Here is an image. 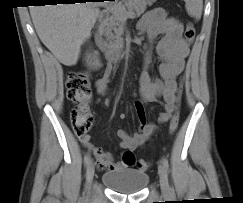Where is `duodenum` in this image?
Here are the masks:
<instances>
[{
	"label": "duodenum",
	"mask_w": 243,
	"mask_h": 203,
	"mask_svg": "<svg viewBox=\"0 0 243 203\" xmlns=\"http://www.w3.org/2000/svg\"><path fill=\"white\" fill-rule=\"evenodd\" d=\"M106 11L101 12L95 29V41L97 46L104 52L107 61L117 62L130 56L129 52L122 47L108 46L101 33V25L106 21Z\"/></svg>",
	"instance_id": "duodenum-1"
}]
</instances>
